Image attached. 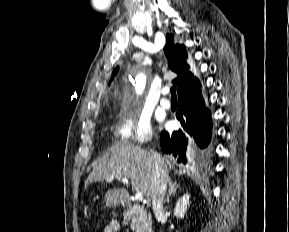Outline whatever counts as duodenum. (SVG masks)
I'll return each mask as SVG.
<instances>
[{
	"label": "duodenum",
	"instance_id": "obj_1",
	"mask_svg": "<svg viewBox=\"0 0 289 232\" xmlns=\"http://www.w3.org/2000/svg\"><path fill=\"white\" fill-rule=\"evenodd\" d=\"M119 200L124 205H127L130 203V197L127 193L121 194Z\"/></svg>",
	"mask_w": 289,
	"mask_h": 232
}]
</instances>
